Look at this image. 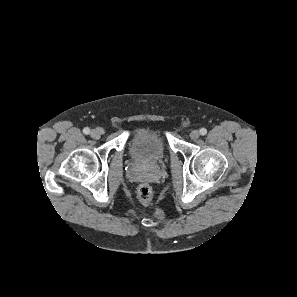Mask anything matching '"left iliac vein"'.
Instances as JSON below:
<instances>
[{
	"mask_svg": "<svg viewBox=\"0 0 297 297\" xmlns=\"http://www.w3.org/2000/svg\"><path fill=\"white\" fill-rule=\"evenodd\" d=\"M199 131L198 130H192L191 133H190V138L192 140H197L199 138Z\"/></svg>",
	"mask_w": 297,
	"mask_h": 297,
	"instance_id": "1",
	"label": "left iliac vein"
}]
</instances>
